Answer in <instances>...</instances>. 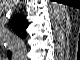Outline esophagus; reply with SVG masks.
<instances>
[{"instance_id":"esophagus-1","label":"esophagus","mask_w":80,"mask_h":60,"mask_svg":"<svg viewBox=\"0 0 80 60\" xmlns=\"http://www.w3.org/2000/svg\"><path fill=\"white\" fill-rule=\"evenodd\" d=\"M10 51H11V53H12V56H14V51H13V49L10 48Z\"/></svg>"}]
</instances>
